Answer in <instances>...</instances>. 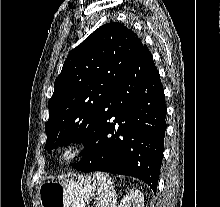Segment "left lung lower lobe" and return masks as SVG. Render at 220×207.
<instances>
[{
    "instance_id": "0a47b994",
    "label": "left lung lower lobe",
    "mask_w": 220,
    "mask_h": 207,
    "mask_svg": "<svg viewBox=\"0 0 220 207\" xmlns=\"http://www.w3.org/2000/svg\"><path fill=\"white\" fill-rule=\"evenodd\" d=\"M166 105L159 72L141 44L108 99L105 112L72 166L139 178L156 192L164 151Z\"/></svg>"
}]
</instances>
